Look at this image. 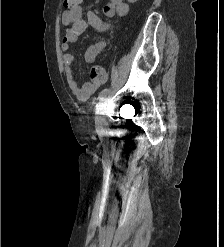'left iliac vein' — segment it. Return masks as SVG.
Returning <instances> with one entry per match:
<instances>
[{
  "label": "left iliac vein",
  "instance_id": "4c4485c4",
  "mask_svg": "<svg viewBox=\"0 0 224 247\" xmlns=\"http://www.w3.org/2000/svg\"><path fill=\"white\" fill-rule=\"evenodd\" d=\"M106 104H107V98L104 96L97 107V116H96V129L97 131H102L105 127V119H104V114L106 110Z\"/></svg>",
  "mask_w": 224,
  "mask_h": 247
}]
</instances>
